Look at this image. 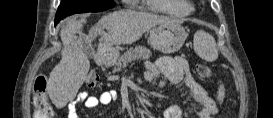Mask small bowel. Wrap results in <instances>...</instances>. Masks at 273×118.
<instances>
[{
	"label": "small bowel",
	"instance_id": "1",
	"mask_svg": "<svg viewBox=\"0 0 273 118\" xmlns=\"http://www.w3.org/2000/svg\"><path fill=\"white\" fill-rule=\"evenodd\" d=\"M164 76L166 80L177 85L181 82L187 87L186 95L195 104L198 118H213L217 105L207 91L193 77L186 59L181 57H161L148 70L145 79L148 82ZM116 97L114 91H103L98 95L78 94L68 105V118H78L76 105L83 102L87 109L111 103ZM163 118H182V111L177 106H170L163 112Z\"/></svg>",
	"mask_w": 273,
	"mask_h": 118
}]
</instances>
